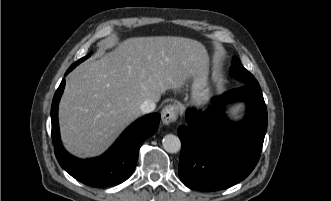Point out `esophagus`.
Instances as JSON below:
<instances>
[{"instance_id":"1","label":"esophagus","mask_w":331,"mask_h":201,"mask_svg":"<svg viewBox=\"0 0 331 201\" xmlns=\"http://www.w3.org/2000/svg\"><path fill=\"white\" fill-rule=\"evenodd\" d=\"M179 108L177 105H167L161 112V119L164 125H169L178 118Z\"/></svg>"}]
</instances>
